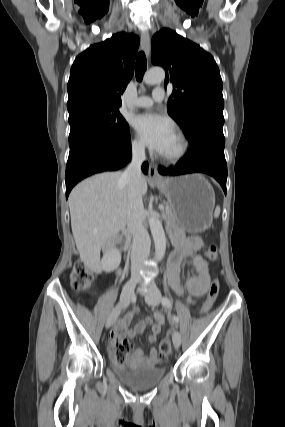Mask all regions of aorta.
<instances>
[{
	"mask_svg": "<svg viewBox=\"0 0 285 427\" xmlns=\"http://www.w3.org/2000/svg\"><path fill=\"white\" fill-rule=\"evenodd\" d=\"M164 79L165 71L159 67L150 69L144 75V82L148 85L160 84ZM149 226L155 245V257L158 261H161L166 251V237L163 226L155 216L149 218Z\"/></svg>",
	"mask_w": 285,
	"mask_h": 427,
	"instance_id": "aorta-1",
	"label": "aorta"
}]
</instances>
